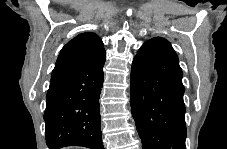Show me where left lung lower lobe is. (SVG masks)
<instances>
[{
	"mask_svg": "<svg viewBox=\"0 0 227 149\" xmlns=\"http://www.w3.org/2000/svg\"><path fill=\"white\" fill-rule=\"evenodd\" d=\"M182 69L161 37L146 41L131 68L130 105L143 149H185Z\"/></svg>",
	"mask_w": 227,
	"mask_h": 149,
	"instance_id": "0a47b994",
	"label": "left lung lower lobe"
}]
</instances>
